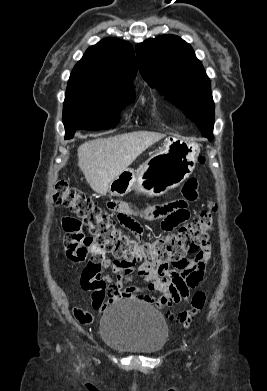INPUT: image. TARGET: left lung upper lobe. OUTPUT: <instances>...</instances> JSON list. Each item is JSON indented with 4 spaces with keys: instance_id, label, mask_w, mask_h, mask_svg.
Returning <instances> with one entry per match:
<instances>
[{
    "instance_id": "left-lung-upper-lobe-1",
    "label": "left lung upper lobe",
    "mask_w": 267,
    "mask_h": 391,
    "mask_svg": "<svg viewBox=\"0 0 267 391\" xmlns=\"http://www.w3.org/2000/svg\"><path fill=\"white\" fill-rule=\"evenodd\" d=\"M139 71L146 82L213 138L211 84L192 47L175 35H162L136 46Z\"/></svg>"
}]
</instances>
